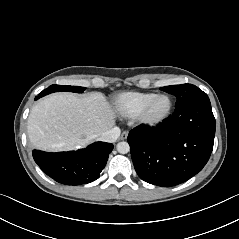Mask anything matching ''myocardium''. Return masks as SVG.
Wrapping results in <instances>:
<instances>
[{"label": "myocardium", "mask_w": 239, "mask_h": 239, "mask_svg": "<svg viewBox=\"0 0 239 239\" xmlns=\"http://www.w3.org/2000/svg\"><path fill=\"white\" fill-rule=\"evenodd\" d=\"M161 98H164L167 101V107L161 115L157 117H152L150 115V109L152 105L154 104V102ZM172 110H173V102L170 96L167 94H156L144 103V105L142 106L138 114L136 115V118L140 124L146 127H151V128L157 127L161 125L162 123H164L170 117Z\"/></svg>", "instance_id": "myocardium-1"}]
</instances>
